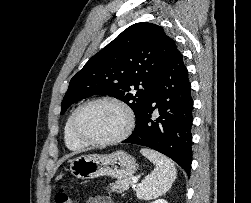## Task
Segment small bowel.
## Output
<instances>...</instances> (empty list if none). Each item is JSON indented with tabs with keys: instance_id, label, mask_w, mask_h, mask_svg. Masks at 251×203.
I'll use <instances>...</instances> for the list:
<instances>
[{
	"instance_id": "1",
	"label": "small bowel",
	"mask_w": 251,
	"mask_h": 203,
	"mask_svg": "<svg viewBox=\"0 0 251 203\" xmlns=\"http://www.w3.org/2000/svg\"><path fill=\"white\" fill-rule=\"evenodd\" d=\"M86 203H114L108 196H95L87 200Z\"/></svg>"
}]
</instances>
